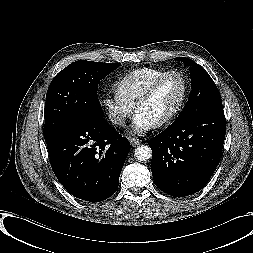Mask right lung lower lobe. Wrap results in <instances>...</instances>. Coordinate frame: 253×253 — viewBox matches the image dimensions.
Segmentation results:
<instances>
[{
	"label": "right lung lower lobe",
	"mask_w": 253,
	"mask_h": 253,
	"mask_svg": "<svg viewBox=\"0 0 253 253\" xmlns=\"http://www.w3.org/2000/svg\"><path fill=\"white\" fill-rule=\"evenodd\" d=\"M45 141L53 172L70 194L99 202L116 192L130 143L105 119L80 117Z\"/></svg>",
	"instance_id": "right-lung-lower-lobe-1"
}]
</instances>
